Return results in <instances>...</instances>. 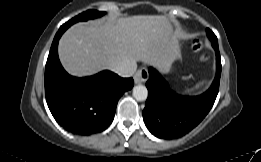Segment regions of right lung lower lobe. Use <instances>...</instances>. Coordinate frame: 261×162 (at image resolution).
<instances>
[{
    "label": "right lung lower lobe",
    "instance_id": "1",
    "mask_svg": "<svg viewBox=\"0 0 261 162\" xmlns=\"http://www.w3.org/2000/svg\"><path fill=\"white\" fill-rule=\"evenodd\" d=\"M71 25L63 24L51 45L45 67L46 101L63 128L74 134L91 135L112 123L118 100L133 87L134 80L110 71L83 78L70 76L60 64L57 47Z\"/></svg>",
    "mask_w": 261,
    "mask_h": 162
}]
</instances>
